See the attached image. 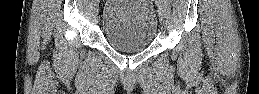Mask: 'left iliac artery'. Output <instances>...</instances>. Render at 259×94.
<instances>
[{
    "mask_svg": "<svg viewBox=\"0 0 259 94\" xmlns=\"http://www.w3.org/2000/svg\"><path fill=\"white\" fill-rule=\"evenodd\" d=\"M155 3H156V5H157L158 7L161 6L160 0H155Z\"/></svg>",
    "mask_w": 259,
    "mask_h": 94,
    "instance_id": "obj_1",
    "label": "left iliac artery"
}]
</instances>
